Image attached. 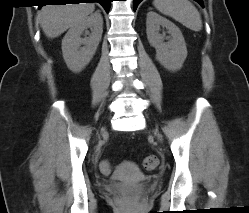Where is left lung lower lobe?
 Wrapping results in <instances>:
<instances>
[{
	"label": "left lung lower lobe",
	"mask_w": 249,
	"mask_h": 213,
	"mask_svg": "<svg viewBox=\"0 0 249 213\" xmlns=\"http://www.w3.org/2000/svg\"><path fill=\"white\" fill-rule=\"evenodd\" d=\"M142 0H134V10H136L138 4L141 2ZM197 1L201 6H203V1L202 0H195Z\"/></svg>",
	"instance_id": "left-lung-lower-lobe-1"
}]
</instances>
